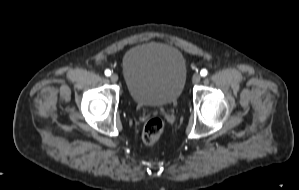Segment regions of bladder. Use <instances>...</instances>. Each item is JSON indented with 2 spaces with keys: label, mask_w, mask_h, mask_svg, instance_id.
I'll return each instance as SVG.
<instances>
[{
  "label": "bladder",
  "mask_w": 299,
  "mask_h": 190,
  "mask_svg": "<svg viewBox=\"0 0 299 190\" xmlns=\"http://www.w3.org/2000/svg\"><path fill=\"white\" fill-rule=\"evenodd\" d=\"M122 72L131 98L143 106H165L177 100L186 82L187 64L174 46L146 42L122 59Z\"/></svg>",
  "instance_id": "obj_1"
}]
</instances>
